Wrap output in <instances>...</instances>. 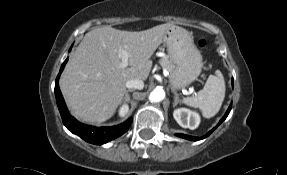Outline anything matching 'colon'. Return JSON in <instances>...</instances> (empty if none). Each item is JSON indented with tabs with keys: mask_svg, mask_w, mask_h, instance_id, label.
Segmentation results:
<instances>
[{
	"mask_svg": "<svg viewBox=\"0 0 287 175\" xmlns=\"http://www.w3.org/2000/svg\"><path fill=\"white\" fill-rule=\"evenodd\" d=\"M198 46H199L200 48H204V47L206 46V41H205L204 39H200V40L198 41Z\"/></svg>",
	"mask_w": 287,
	"mask_h": 175,
	"instance_id": "1",
	"label": "colon"
}]
</instances>
